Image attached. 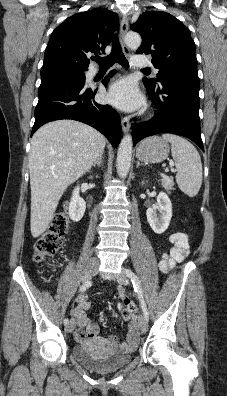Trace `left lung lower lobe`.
Listing matches in <instances>:
<instances>
[{
	"instance_id": "obj_1",
	"label": "left lung lower lobe",
	"mask_w": 227,
	"mask_h": 396,
	"mask_svg": "<svg viewBox=\"0 0 227 396\" xmlns=\"http://www.w3.org/2000/svg\"><path fill=\"white\" fill-rule=\"evenodd\" d=\"M199 80L169 77L160 87L146 86L156 111L148 122L132 125L133 146L145 137L174 133L189 138L203 151L199 118Z\"/></svg>"
}]
</instances>
